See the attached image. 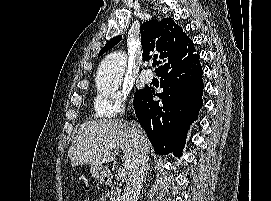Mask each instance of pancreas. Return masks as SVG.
Returning a JSON list of instances; mask_svg holds the SVG:
<instances>
[{"mask_svg": "<svg viewBox=\"0 0 271 201\" xmlns=\"http://www.w3.org/2000/svg\"><path fill=\"white\" fill-rule=\"evenodd\" d=\"M120 196H121V188L120 186H116L114 190H111L106 197L109 198L108 201H120Z\"/></svg>", "mask_w": 271, "mask_h": 201, "instance_id": "obj_1", "label": "pancreas"}]
</instances>
